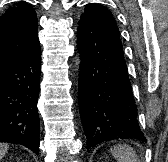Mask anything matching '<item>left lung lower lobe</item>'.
<instances>
[{
	"label": "left lung lower lobe",
	"mask_w": 168,
	"mask_h": 162,
	"mask_svg": "<svg viewBox=\"0 0 168 162\" xmlns=\"http://www.w3.org/2000/svg\"><path fill=\"white\" fill-rule=\"evenodd\" d=\"M79 110L91 147L113 139L146 142L128 77L120 36L89 17L77 29Z\"/></svg>",
	"instance_id": "0a47b994"
}]
</instances>
